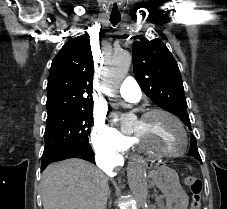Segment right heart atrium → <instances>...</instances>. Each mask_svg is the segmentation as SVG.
<instances>
[{
	"mask_svg": "<svg viewBox=\"0 0 227 209\" xmlns=\"http://www.w3.org/2000/svg\"><path fill=\"white\" fill-rule=\"evenodd\" d=\"M129 138L114 126L97 118L92 129L91 143L96 153L116 157L121 156L129 146Z\"/></svg>",
	"mask_w": 227,
	"mask_h": 209,
	"instance_id": "1",
	"label": "right heart atrium"
}]
</instances>
